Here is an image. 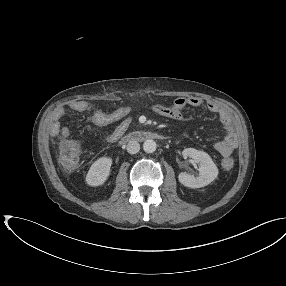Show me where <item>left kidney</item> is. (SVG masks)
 Masks as SVG:
<instances>
[{
    "label": "left kidney",
    "instance_id": "1",
    "mask_svg": "<svg viewBox=\"0 0 286 286\" xmlns=\"http://www.w3.org/2000/svg\"><path fill=\"white\" fill-rule=\"evenodd\" d=\"M182 155L185 159L189 157L200 164L197 177L184 172L179 174L178 178L182 185L189 188H200L210 184L217 178L218 168L206 152L194 148H186L182 151Z\"/></svg>",
    "mask_w": 286,
    "mask_h": 286
}]
</instances>
